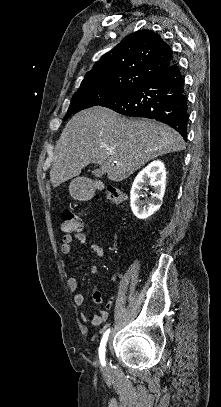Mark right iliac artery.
Returning a JSON list of instances; mask_svg holds the SVG:
<instances>
[{"label":"right iliac artery","mask_w":221,"mask_h":407,"mask_svg":"<svg viewBox=\"0 0 221 407\" xmlns=\"http://www.w3.org/2000/svg\"><path fill=\"white\" fill-rule=\"evenodd\" d=\"M109 333H110V329H108L104 333L103 338L100 343V347H99V358H100V362L103 366H105V346H106V342L108 340Z\"/></svg>","instance_id":"obj_1"}]
</instances>
